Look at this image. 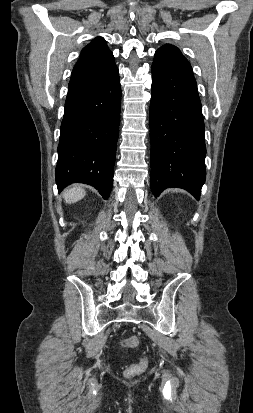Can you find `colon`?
I'll use <instances>...</instances> for the list:
<instances>
[{"instance_id": "colon-1", "label": "colon", "mask_w": 253, "mask_h": 413, "mask_svg": "<svg viewBox=\"0 0 253 413\" xmlns=\"http://www.w3.org/2000/svg\"><path fill=\"white\" fill-rule=\"evenodd\" d=\"M140 341L138 336L136 335H129L125 339L120 342V349H133L139 345ZM146 366L145 360L141 359L138 363L132 364L129 366L125 374L127 377H133L140 374Z\"/></svg>"}]
</instances>
